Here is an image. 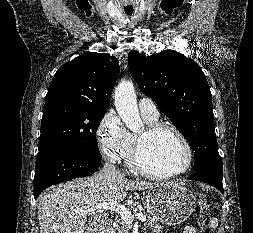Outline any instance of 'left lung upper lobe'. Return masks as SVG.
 Returning a JSON list of instances; mask_svg holds the SVG:
<instances>
[{
	"instance_id": "1",
	"label": "left lung upper lobe",
	"mask_w": 253,
	"mask_h": 233,
	"mask_svg": "<svg viewBox=\"0 0 253 233\" xmlns=\"http://www.w3.org/2000/svg\"><path fill=\"white\" fill-rule=\"evenodd\" d=\"M128 64L140 90L154 101L189 141L194 170H223L217 150L212 94L200 66L173 50L144 56L130 51Z\"/></svg>"
}]
</instances>
